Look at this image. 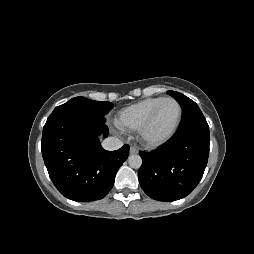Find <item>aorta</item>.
Masks as SVG:
<instances>
[{
  "instance_id": "obj_1",
  "label": "aorta",
  "mask_w": 254,
  "mask_h": 254,
  "mask_svg": "<svg viewBox=\"0 0 254 254\" xmlns=\"http://www.w3.org/2000/svg\"><path fill=\"white\" fill-rule=\"evenodd\" d=\"M129 166L138 169L142 165V158L139 155H131L128 158Z\"/></svg>"
}]
</instances>
